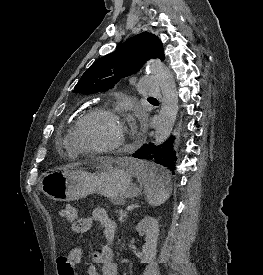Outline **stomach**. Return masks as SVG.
I'll use <instances>...</instances> for the list:
<instances>
[{"label":"stomach","instance_id":"1","mask_svg":"<svg viewBox=\"0 0 263 275\" xmlns=\"http://www.w3.org/2000/svg\"><path fill=\"white\" fill-rule=\"evenodd\" d=\"M124 164L121 162L122 167ZM131 176L127 170L112 167L111 164L93 174L82 169L52 171L42 175L40 189L55 201L79 200L98 193L119 205L126 198H134L141 192V188L132 183Z\"/></svg>","mask_w":263,"mask_h":275}]
</instances>
